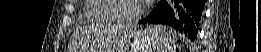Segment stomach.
Segmentation results:
<instances>
[{"mask_svg":"<svg viewBox=\"0 0 261 52\" xmlns=\"http://www.w3.org/2000/svg\"><path fill=\"white\" fill-rule=\"evenodd\" d=\"M121 28L126 30V27L116 26L110 29ZM158 45L154 29L148 27L145 29L130 28L126 35L121 38L118 44L119 52H153Z\"/></svg>","mask_w":261,"mask_h":52,"instance_id":"1","label":"stomach"}]
</instances>
